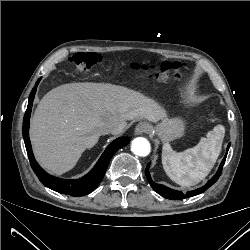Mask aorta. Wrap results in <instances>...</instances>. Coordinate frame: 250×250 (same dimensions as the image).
<instances>
[{
    "instance_id": "1",
    "label": "aorta",
    "mask_w": 250,
    "mask_h": 250,
    "mask_svg": "<svg viewBox=\"0 0 250 250\" xmlns=\"http://www.w3.org/2000/svg\"><path fill=\"white\" fill-rule=\"evenodd\" d=\"M150 143L147 139L138 137L132 141L131 150L135 155L147 156L150 153Z\"/></svg>"
}]
</instances>
